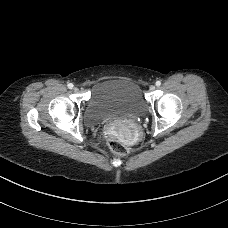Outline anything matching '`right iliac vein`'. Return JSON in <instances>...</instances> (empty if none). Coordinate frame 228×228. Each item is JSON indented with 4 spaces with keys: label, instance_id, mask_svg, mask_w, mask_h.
Segmentation results:
<instances>
[{
    "label": "right iliac vein",
    "instance_id": "63e3f726",
    "mask_svg": "<svg viewBox=\"0 0 228 228\" xmlns=\"http://www.w3.org/2000/svg\"><path fill=\"white\" fill-rule=\"evenodd\" d=\"M73 89H74L75 91H78V88H77V87H74Z\"/></svg>",
    "mask_w": 228,
    "mask_h": 228
}]
</instances>
